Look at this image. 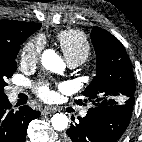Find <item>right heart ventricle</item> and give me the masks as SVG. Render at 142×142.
I'll return each mask as SVG.
<instances>
[{"label": "right heart ventricle", "instance_id": "e07e8e85", "mask_svg": "<svg viewBox=\"0 0 142 142\" xmlns=\"http://www.w3.org/2000/svg\"><path fill=\"white\" fill-rule=\"evenodd\" d=\"M57 42L67 61L83 63L91 54L90 43L86 35L75 29L58 33Z\"/></svg>", "mask_w": 142, "mask_h": 142}]
</instances>
